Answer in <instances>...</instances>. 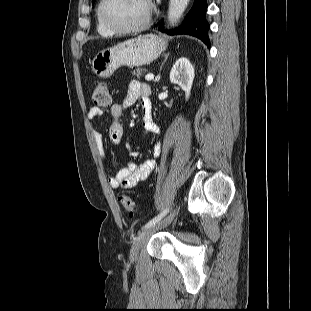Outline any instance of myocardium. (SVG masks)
I'll return each mask as SVG.
<instances>
[{"mask_svg": "<svg viewBox=\"0 0 311 311\" xmlns=\"http://www.w3.org/2000/svg\"><path fill=\"white\" fill-rule=\"evenodd\" d=\"M108 2L109 0L100 1L99 8H98V14H99V17L102 23L112 32L118 33V34H132V33H137V32L144 30L149 25L151 18H152V12H153V6L150 0H147L148 11H147L145 18L139 24L135 26H131V27H120L108 19V17L106 16V5Z\"/></svg>", "mask_w": 311, "mask_h": 311, "instance_id": "myocardium-1", "label": "myocardium"}]
</instances>
